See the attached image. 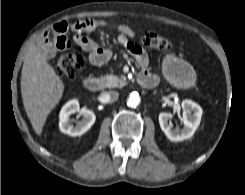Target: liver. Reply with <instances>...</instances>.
Segmentation results:
<instances>
[{
    "mask_svg": "<svg viewBox=\"0 0 245 195\" xmlns=\"http://www.w3.org/2000/svg\"><path fill=\"white\" fill-rule=\"evenodd\" d=\"M64 84L47 62L44 47L32 46L26 53L21 74L23 105L37 135H41L51 110L63 96Z\"/></svg>",
    "mask_w": 245,
    "mask_h": 195,
    "instance_id": "obj_1",
    "label": "liver"
}]
</instances>
